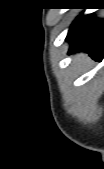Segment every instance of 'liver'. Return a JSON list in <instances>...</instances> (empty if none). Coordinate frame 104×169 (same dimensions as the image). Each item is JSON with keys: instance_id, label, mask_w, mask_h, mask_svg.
<instances>
[{"instance_id": "6515ba94", "label": "liver", "mask_w": 104, "mask_h": 169, "mask_svg": "<svg viewBox=\"0 0 104 169\" xmlns=\"http://www.w3.org/2000/svg\"><path fill=\"white\" fill-rule=\"evenodd\" d=\"M76 58L79 59V60H84L86 58V55L85 54H79V55H77Z\"/></svg>"}]
</instances>
